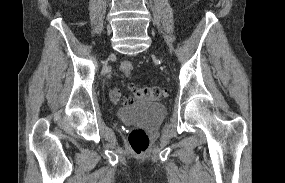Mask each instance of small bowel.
Returning a JSON list of instances; mask_svg holds the SVG:
<instances>
[{"mask_svg":"<svg viewBox=\"0 0 285 183\" xmlns=\"http://www.w3.org/2000/svg\"><path fill=\"white\" fill-rule=\"evenodd\" d=\"M110 96H111V99L115 102L119 101L120 100V92L118 89L116 88H113L110 90Z\"/></svg>","mask_w":285,"mask_h":183,"instance_id":"obj_1","label":"small bowel"}]
</instances>
